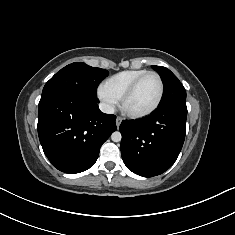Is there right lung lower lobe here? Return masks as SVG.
Here are the masks:
<instances>
[{"mask_svg":"<svg viewBox=\"0 0 235 235\" xmlns=\"http://www.w3.org/2000/svg\"><path fill=\"white\" fill-rule=\"evenodd\" d=\"M98 98L71 91L43 95L38 105V136L52 165L65 173L92 167L100 147L116 130V116L104 114Z\"/></svg>","mask_w":235,"mask_h":235,"instance_id":"obj_1","label":"right lung lower lobe"}]
</instances>
